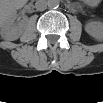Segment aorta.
Returning a JSON list of instances; mask_svg holds the SVG:
<instances>
[{
    "label": "aorta",
    "instance_id": "762f6f07",
    "mask_svg": "<svg viewBox=\"0 0 103 103\" xmlns=\"http://www.w3.org/2000/svg\"><path fill=\"white\" fill-rule=\"evenodd\" d=\"M48 6L50 8H57L59 6V1L58 0H49Z\"/></svg>",
    "mask_w": 103,
    "mask_h": 103
}]
</instances>
